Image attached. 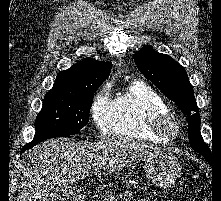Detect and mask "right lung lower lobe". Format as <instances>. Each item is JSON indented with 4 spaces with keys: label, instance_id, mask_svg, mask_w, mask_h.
I'll list each match as a JSON object with an SVG mask.
<instances>
[{
    "label": "right lung lower lobe",
    "instance_id": "98d812e1",
    "mask_svg": "<svg viewBox=\"0 0 221 201\" xmlns=\"http://www.w3.org/2000/svg\"><path fill=\"white\" fill-rule=\"evenodd\" d=\"M54 137H72V135H64V136H58V135H50V136H46V137H42V138H38V139H33L30 143L26 144L20 154H22L23 152H25L27 149L32 148L33 146H35L36 144H38L39 142L49 139V138H54Z\"/></svg>",
    "mask_w": 221,
    "mask_h": 201
}]
</instances>
